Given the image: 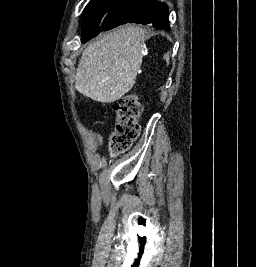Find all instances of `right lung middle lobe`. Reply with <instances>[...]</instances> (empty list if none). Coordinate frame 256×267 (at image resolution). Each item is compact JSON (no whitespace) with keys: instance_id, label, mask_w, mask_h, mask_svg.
<instances>
[{"instance_id":"obj_1","label":"right lung middle lobe","mask_w":256,"mask_h":267,"mask_svg":"<svg viewBox=\"0 0 256 267\" xmlns=\"http://www.w3.org/2000/svg\"><path fill=\"white\" fill-rule=\"evenodd\" d=\"M142 0H91L83 12L82 38L84 43L109 30Z\"/></svg>"}]
</instances>
